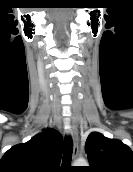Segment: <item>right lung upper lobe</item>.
I'll return each mask as SVG.
<instances>
[{"mask_svg":"<svg viewBox=\"0 0 133 172\" xmlns=\"http://www.w3.org/2000/svg\"><path fill=\"white\" fill-rule=\"evenodd\" d=\"M62 135L48 128L30 141L11 147L0 160V172H57Z\"/></svg>","mask_w":133,"mask_h":172,"instance_id":"right-lung-upper-lobe-1","label":"right lung upper lobe"}]
</instances>
